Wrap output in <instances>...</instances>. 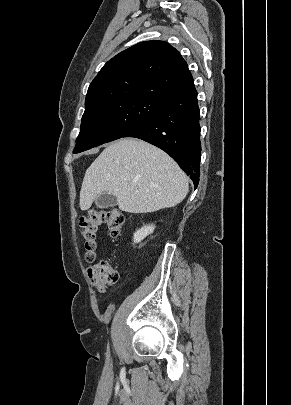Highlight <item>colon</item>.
Listing matches in <instances>:
<instances>
[{
    "mask_svg": "<svg viewBox=\"0 0 291 405\" xmlns=\"http://www.w3.org/2000/svg\"><path fill=\"white\" fill-rule=\"evenodd\" d=\"M123 224V214L118 210H93L80 219L85 258L88 262L92 263L96 259L100 227L106 226L111 236H118ZM88 276L100 291L118 280V273L108 260H100L89 267Z\"/></svg>",
    "mask_w": 291,
    "mask_h": 405,
    "instance_id": "1",
    "label": "colon"
}]
</instances>
